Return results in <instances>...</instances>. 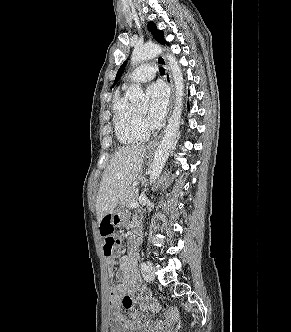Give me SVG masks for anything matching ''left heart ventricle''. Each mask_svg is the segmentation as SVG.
Here are the masks:
<instances>
[{
  "label": "left heart ventricle",
  "instance_id": "obj_1",
  "mask_svg": "<svg viewBox=\"0 0 291 332\" xmlns=\"http://www.w3.org/2000/svg\"><path fill=\"white\" fill-rule=\"evenodd\" d=\"M146 109H147V106L146 105H142L138 108V110L141 112V113H145L146 112Z\"/></svg>",
  "mask_w": 291,
  "mask_h": 332
}]
</instances>
